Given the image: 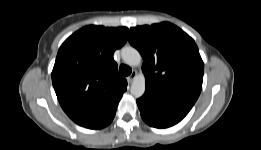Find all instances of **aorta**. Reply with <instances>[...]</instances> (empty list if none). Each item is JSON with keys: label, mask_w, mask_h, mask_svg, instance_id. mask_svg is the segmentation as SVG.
<instances>
[{"label": "aorta", "mask_w": 261, "mask_h": 150, "mask_svg": "<svg viewBox=\"0 0 261 150\" xmlns=\"http://www.w3.org/2000/svg\"><path fill=\"white\" fill-rule=\"evenodd\" d=\"M121 54H122V59L127 65L129 66L140 65L142 57L135 48L131 46L124 47L122 48ZM145 86H146L145 77L143 75H138L134 78L131 84L130 92L134 97L139 98L144 94Z\"/></svg>", "instance_id": "obj_1"}]
</instances>
